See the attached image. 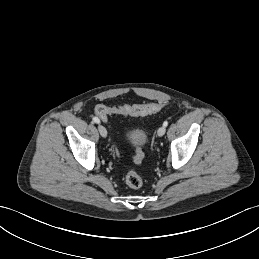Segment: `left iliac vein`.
I'll list each match as a JSON object with an SVG mask.
<instances>
[{"label": "left iliac vein", "mask_w": 259, "mask_h": 259, "mask_svg": "<svg viewBox=\"0 0 259 259\" xmlns=\"http://www.w3.org/2000/svg\"><path fill=\"white\" fill-rule=\"evenodd\" d=\"M166 132V127L165 126H161L158 131H157V134L159 137H162Z\"/></svg>", "instance_id": "1"}]
</instances>
